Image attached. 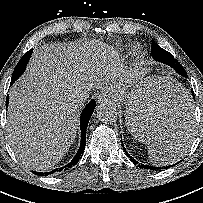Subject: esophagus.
Returning a JSON list of instances; mask_svg holds the SVG:
<instances>
[{"label": "esophagus", "mask_w": 203, "mask_h": 203, "mask_svg": "<svg viewBox=\"0 0 203 203\" xmlns=\"http://www.w3.org/2000/svg\"><path fill=\"white\" fill-rule=\"evenodd\" d=\"M97 102L99 104H107L110 102V96L106 93H102L98 96Z\"/></svg>", "instance_id": "1"}]
</instances>
